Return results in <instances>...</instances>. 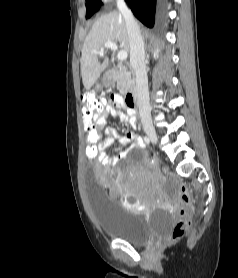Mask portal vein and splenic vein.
<instances>
[{"label": "portal vein and splenic vein", "instance_id": "1", "mask_svg": "<svg viewBox=\"0 0 238 278\" xmlns=\"http://www.w3.org/2000/svg\"><path fill=\"white\" fill-rule=\"evenodd\" d=\"M106 48H109V49H111V50H113V51L118 50V46L116 45V43H114V42H106V43L104 44V47H102V48L100 49L99 55L103 56L104 50H105ZM127 55H128V54H127L126 51H119V52H118V55H117L118 60H119V61H124V60H126V59H127Z\"/></svg>", "mask_w": 238, "mask_h": 278}]
</instances>
